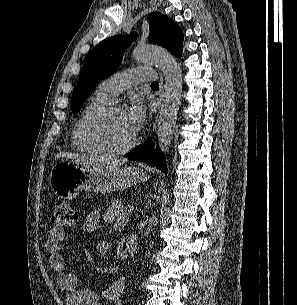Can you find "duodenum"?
Listing matches in <instances>:
<instances>
[{"label":"duodenum","instance_id":"obj_1","mask_svg":"<svg viewBox=\"0 0 297 305\" xmlns=\"http://www.w3.org/2000/svg\"><path fill=\"white\" fill-rule=\"evenodd\" d=\"M126 250L130 255H133L136 252V242L134 239H128L126 241Z\"/></svg>","mask_w":297,"mask_h":305}]
</instances>
